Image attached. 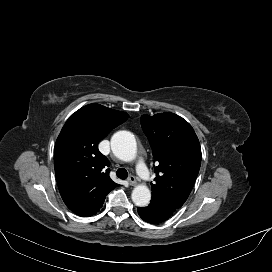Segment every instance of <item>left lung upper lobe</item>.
<instances>
[{
  "instance_id": "5c2ea615",
  "label": "left lung upper lobe",
  "mask_w": 272,
  "mask_h": 272,
  "mask_svg": "<svg viewBox=\"0 0 272 272\" xmlns=\"http://www.w3.org/2000/svg\"><path fill=\"white\" fill-rule=\"evenodd\" d=\"M141 125L158 164L149 205L172 215L187 200L197 178L199 140L186 120L170 112L143 115Z\"/></svg>"
}]
</instances>
